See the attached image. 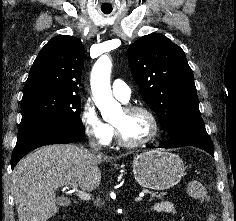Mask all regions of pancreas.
I'll use <instances>...</instances> for the list:
<instances>
[{
	"instance_id": "pancreas-1",
	"label": "pancreas",
	"mask_w": 236,
	"mask_h": 221,
	"mask_svg": "<svg viewBox=\"0 0 236 221\" xmlns=\"http://www.w3.org/2000/svg\"><path fill=\"white\" fill-rule=\"evenodd\" d=\"M147 193L150 194V200H155L156 198H158V199H160V200L163 199V194H162V193H160V194H158V193H153V192H147Z\"/></svg>"
}]
</instances>
